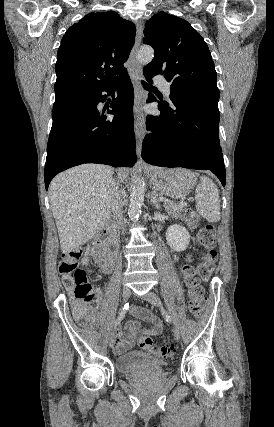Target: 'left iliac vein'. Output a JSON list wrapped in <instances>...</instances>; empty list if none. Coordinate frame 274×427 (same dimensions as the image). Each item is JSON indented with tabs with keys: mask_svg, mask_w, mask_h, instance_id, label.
Here are the masks:
<instances>
[{
	"mask_svg": "<svg viewBox=\"0 0 274 427\" xmlns=\"http://www.w3.org/2000/svg\"><path fill=\"white\" fill-rule=\"evenodd\" d=\"M142 299L150 302L152 305L161 307V301L159 296L152 291H149L145 296L142 297ZM173 335L174 339L178 341L180 338V331L179 328H177L176 326L173 329Z\"/></svg>",
	"mask_w": 274,
	"mask_h": 427,
	"instance_id": "4c4485c4",
	"label": "left iliac vein"
}]
</instances>
